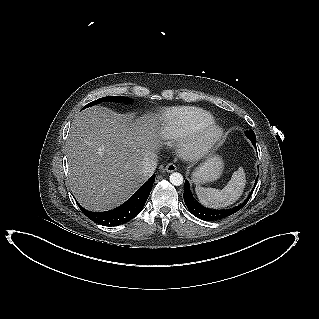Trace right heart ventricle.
Wrapping results in <instances>:
<instances>
[{
    "label": "right heart ventricle",
    "mask_w": 319,
    "mask_h": 319,
    "mask_svg": "<svg viewBox=\"0 0 319 319\" xmlns=\"http://www.w3.org/2000/svg\"><path fill=\"white\" fill-rule=\"evenodd\" d=\"M212 120V114L202 108L172 107L160 113L157 130L162 138L177 140Z\"/></svg>",
    "instance_id": "right-heart-ventricle-1"
}]
</instances>
